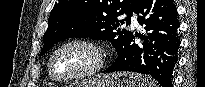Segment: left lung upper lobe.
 Returning <instances> with one entry per match:
<instances>
[{"label":"left lung upper lobe","mask_w":205,"mask_h":87,"mask_svg":"<svg viewBox=\"0 0 205 87\" xmlns=\"http://www.w3.org/2000/svg\"><path fill=\"white\" fill-rule=\"evenodd\" d=\"M138 2L139 0H58L49 17L40 55L58 41L72 37L109 41L119 55L133 34L120 29V26L125 22L130 24V16ZM123 14H127V18L120 19Z\"/></svg>","instance_id":"1"}]
</instances>
